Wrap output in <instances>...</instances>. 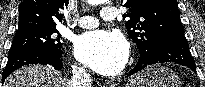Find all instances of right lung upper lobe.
<instances>
[{
	"label": "right lung upper lobe",
	"mask_w": 205,
	"mask_h": 87,
	"mask_svg": "<svg viewBox=\"0 0 205 87\" xmlns=\"http://www.w3.org/2000/svg\"><path fill=\"white\" fill-rule=\"evenodd\" d=\"M69 0H23L19 5L18 30L56 28L63 14L59 10L67 6Z\"/></svg>",
	"instance_id": "obj_1"
}]
</instances>
